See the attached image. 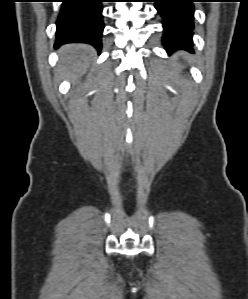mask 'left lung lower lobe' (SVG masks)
Returning <instances> with one entry per match:
<instances>
[{"label":"left lung lower lobe","mask_w":248,"mask_h":299,"mask_svg":"<svg viewBox=\"0 0 248 299\" xmlns=\"http://www.w3.org/2000/svg\"><path fill=\"white\" fill-rule=\"evenodd\" d=\"M162 17V42L167 52L178 49L192 51L195 0H153Z\"/></svg>","instance_id":"obj_1"}]
</instances>
